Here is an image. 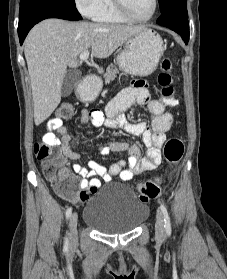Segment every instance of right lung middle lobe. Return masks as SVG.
<instances>
[{
	"instance_id": "dd1d6c3e",
	"label": "right lung middle lobe",
	"mask_w": 227,
	"mask_h": 279,
	"mask_svg": "<svg viewBox=\"0 0 227 279\" xmlns=\"http://www.w3.org/2000/svg\"><path fill=\"white\" fill-rule=\"evenodd\" d=\"M29 0H20V5L28 2ZM62 2L66 3V4H69L70 6L72 7H76L75 6V0H61Z\"/></svg>"
}]
</instances>
